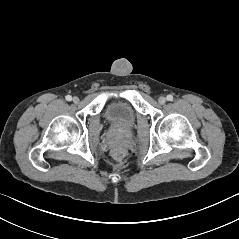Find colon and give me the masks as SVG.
I'll return each mask as SVG.
<instances>
[{
  "instance_id": "obj_1",
  "label": "colon",
  "mask_w": 239,
  "mask_h": 239,
  "mask_svg": "<svg viewBox=\"0 0 239 239\" xmlns=\"http://www.w3.org/2000/svg\"><path fill=\"white\" fill-rule=\"evenodd\" d=\"M127 156V150L122 146H117L112 151V157L115 160H123Z\"/></svg>"
}]
</instances>
